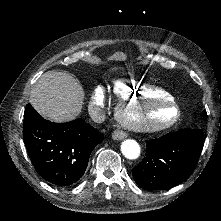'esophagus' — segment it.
Masks as SVG:
<instances>
[{
	"instance_id": "34e87169",
	"label": "esophagus",
	"mask_w": 221,
	"mask_h": 221,
	"mask_svg": "<svg viewBox=\"0 0 221 221\" xmlns=\"http://www.w3.org/2000/svg\"><path fill=\"white\" fill-rule=\"evenodd\" d=\"M127 137V134L122 130H115L112 133V138L115 140H122Z\"/></svg>"
}]
</instances>
